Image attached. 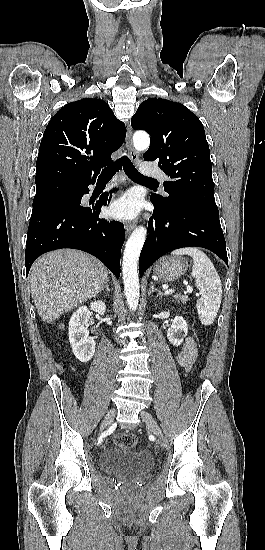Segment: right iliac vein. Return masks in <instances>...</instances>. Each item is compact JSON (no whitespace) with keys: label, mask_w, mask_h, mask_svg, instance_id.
<instances>
[{"label":"right iliac vein","mask_w":265,"mask_h":550,"mask_svg":"<svg viewBox=\"0 0 265 550\" xmlns=\"http://www.w3.org/2000/svg\"><path fill=\"white\" fill-rule=\"evenodd\" d=\"M115 415H116V410L115 409H111L107 413V415L105 416L104 421L101 425V430H104V429L108 428L112 424Z\"/></svg>","instance_id":"right-iliac-vein-1"}]
</instances>
